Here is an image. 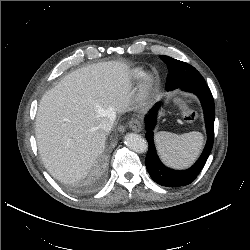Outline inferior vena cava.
Listing matches in <instances>:
<instances>
[{"instance_id":"602c4592","label":"inferior vena cava","mask_w":250,"mask_h":250,"mask_svg":"<svg viewBox=\"0 0 250 250\" xmlns=\"http://www.w3.org/2000/svg\"><path fill=\"white\" fill-rule=\"evenodd\" d=\"M116 115L112 114L109 118H105L99 125V128L102 129L105 132H109L115 122Z\"/></svg>"}]
</instances>
